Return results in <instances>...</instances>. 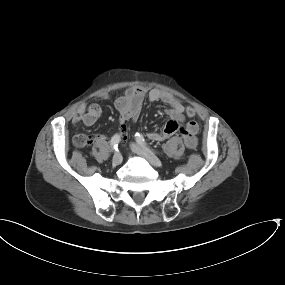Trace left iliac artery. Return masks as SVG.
<instances>
[{
    "label": "left iliac artery",
    "mask_w": 285,
    "mask_h": 285,
    "mask_svg": "<svg viewBox=\"0 0 285 285\" xmlns=\"http://www.w3.org/2000/svg\"><path fill=\"white\" fill-rule=\"evenodd\" d=\"M135 137H136V141H137L140 145H143V146H145V147L148 146L147 143H146V141H145V139H144V137H143L141 134L136 133Z\"/></svg>",
    "instance_id": "left-iliac-artery-1"
}]
</instances>
